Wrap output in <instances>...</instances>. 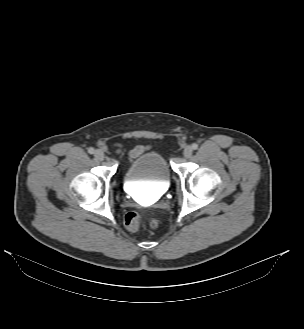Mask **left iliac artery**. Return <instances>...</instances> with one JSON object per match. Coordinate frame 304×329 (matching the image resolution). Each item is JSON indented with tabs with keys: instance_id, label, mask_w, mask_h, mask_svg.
<instances>
[{
	"instance_id": "1",
	"label": "left iliac artery",
	"mask_w": 304,
	"mask_h": 329,
	"mask_svg": "<svg viewBox=\"0 0 304 329\" xmlns=\"http://www.w3.org/2000/svg\"><path fill=\"white\" fill-rule=\"evenodd\" d=\"M192 149H193V150H196V149H198V144H196V143H193V144H192Z\"/></svg>"
}]
</instances>
